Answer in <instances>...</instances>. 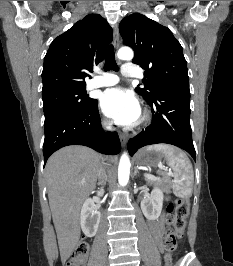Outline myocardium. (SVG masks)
<instances>
[{"mask_svg":"<svg viewBox=\"0 0 233 266\" xmlns=\"http://www.w3.org/2000/svg\"><path fill=\"white\" fill-rule=\"evenodd\" d=\"M149 120H150V114H149V112L145 111L143 113L141 122H142V124H147L149 122Z\"/></svg>","mask_w":233,"mask_h":266,"instance_id":"1","label":"myocardium"}]
</instances>
